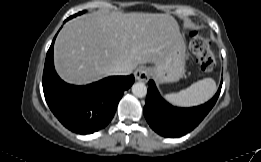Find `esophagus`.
Wrapping results in <instances>:
<instances>
[{
    "instance_id": "34e87169",
    "label": "esophagus",
    "mask_w": 261,
    "mask_h": 162,
    "mask_svg": "<svg viewBox=\"0 0 261 162\" xmlns=\"http://www.w3.org/2000/svg\"><path fill=\"white\" fill-rule=\"evenodd\" d=\"M135 79L138 81L146 82L150 76V70L146 67H139L134 72Z\"/></svg>"
}]
</instances>
